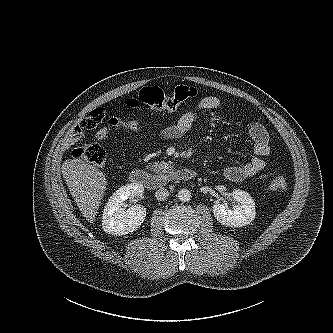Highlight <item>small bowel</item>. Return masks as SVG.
<instances>
[{"label":"small bowel","instance_id":"c3829d8e","mask_svg":"<svg viewBox=\"0 0 333 333\" xmlns=\"http://www.w3.org/2000/svg\"><path fill=\"white\" fill-rule=\"evenodd\" d=\"M126 106L131 109L139 108V100L135 98L127 99ZM221 99L214 95L201 98L194 107L184 112L173 125L163 128L159 132V137L163 140L176 139L187 134L197 117L202 111L215 110L221 107ZM106 117V109L98 107L85 117L78 125L70 130L66 136L67 147L76 145L82 139L85 130L97 127ZM139 121L120 120L110 118L106 124L98 129L95 137L98 140L106 139L114 130H137ZM248 134L253 142L254 156L247 162L237 165H229L224 169L226 179L234 182L242 181L252 177L262 171L266 165L265 158L270 153V137L266 128L260 123H252L248 128Z\"/></svg>","mask_w":333,"mask_h":333}]
</instances>
